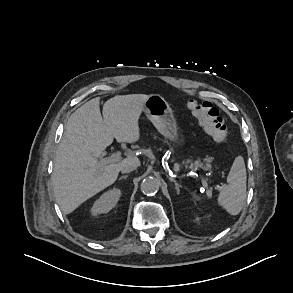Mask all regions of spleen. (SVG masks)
I'll use <instances>...</instances> for the list:
<instances>
[{"label": "spleen", "instance_id": "1", "mask_svg": "<svg viewBox=\"0 0 293 293\" xmlns=\"http://www.w3.org/2000/svg\"><path fill=\"white\" fill-rule=\"evenodd\" d=\"M246 168L242 156L235 158L227 176V183L221 186L217 202L230 215H237L242 210L246 199ZM194 199L199 198L194 195Z\"/></svg>", "mask_w": 293, "mask_h": 293}]
</instances>
